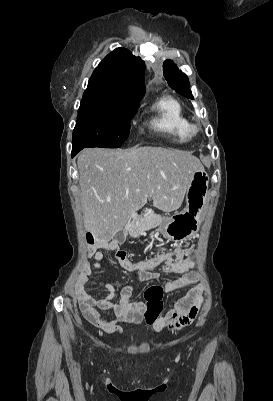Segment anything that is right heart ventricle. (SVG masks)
Instances as JSON below:
<instances>
[{"mask_svg":"<svg viewBox=\"0 0 273 401\" xmlns=\"http://www.w3.org/2000/svg\"><path fill=\"white\" fill-rule=\"evenodd\" d=\"M151 118L149 127L155 132L165 134L180 144L187 143V127L190 119L183 105L172 96H162L149 107Z\"/></svg>","mask_w":273,"mask_h":401,"instance_id":"e07e8e85","label":"right heart ventricle"}]
</instances>
